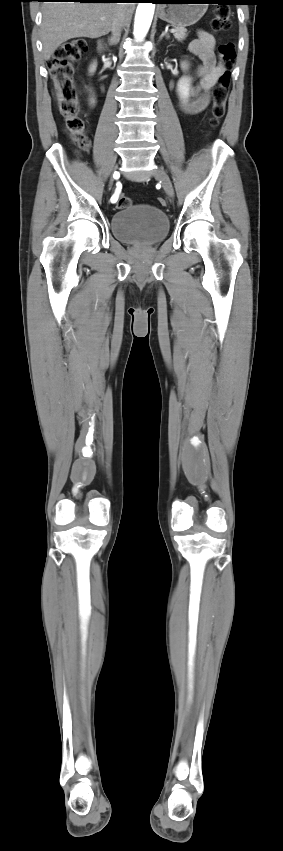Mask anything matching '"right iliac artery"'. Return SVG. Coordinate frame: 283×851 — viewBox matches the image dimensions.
<instances>
[{
    "label": "right iliac artery",
    "mask_w": 283,
    "mask_h": 851,
    "mask_svg": "<svg viewBox=\"0 0 283 851\" xmlns=\"http://www.w3.org/2000/svg\"><path fill=\"white\" fill-rule=\"evenodd\" d=\"M117 186H118L117 191H116V192H115V194L111 197V202H112V203L116 202V200H117V196L120 194L119 192H120L121 190H123V185L121 184V182H120V181H117Z\"/></svg>",
    "instance_id": "obj_1"
}]
</instances>
